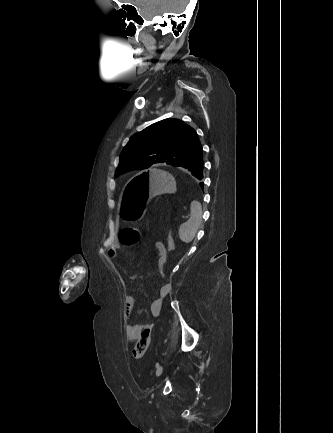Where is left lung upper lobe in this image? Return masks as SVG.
I'll list each match as a JSON object with an SVG mask.
<instances>
[{
  "label": "left lung upper lobe",
  "instance_id": "obj_1",
  "mask_svg": "<svg viewBox=\"0 0 333 433\" xmlns=\"http://www.w3.org/2000/svg\"><path fill=\"white\" fill-rule=\"evenodd\" d=\"M201 147L193 128L178 119H165L131 137L121 152L115 175L159 163L180 167Z\"/></svg>",
  "mask_w": 333,
  "mask_h": 433
}]
</instances>
